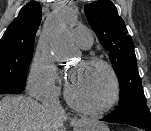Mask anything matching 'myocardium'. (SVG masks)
Here are the masks:
<instances>
[{
	"label": "myocardium",
	"instance_id": "myocardium-1",
	"mask_svg": "<svg viewBox=\"0 0 151 131\" xmlns=\"http://www.w3.org/2000/svg\"><path fill=\"white\" fill-rule=\"evenodd\" d=\"M82 63L84 65H99L108 72L111 79V85H112L110 97L104 104L100 106H96V107L88 106L81 103L77 99H75V97L72 95L70 91L69 84L66 83L65 88H64L65 98L70 106H72L74 109L82 113L89 114V115L105 114L109 112L117 104L120 98L121 89H120V82H119L118 76L114 68L112 67V65L102 58L91 56V57L85 58L82 61Z\"/></svg>",
	"mask_w": 151,
	"mask_h": 131
}]
</instances>
